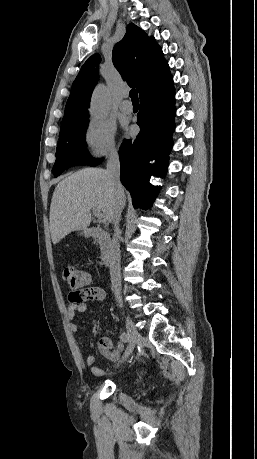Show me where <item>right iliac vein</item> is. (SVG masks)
Instances as JSON below:
<instances>
[{
    "label": "right iliac vein",
    "mask_w": 257,
    "mask_h": 459,
    "mask_svg": "<svg viewBox=\"0 0 257 459\" xmlns=\"http://www.w3.org/2000/svg\"><path fill=\"white\" fill-rule=\"evenodd\" d=\"M126 330L129 335L130 349L128 354L123 357L122 361H125L129 357L140 339V334L129 317H126Z\"/></svg>",
    "instance_id": "right-iliac-vein-1"
}]
</instances>
